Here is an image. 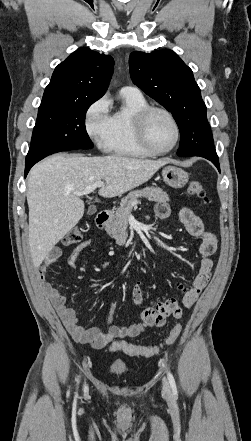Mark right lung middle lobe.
Segmentation results:
<instances>
[{
	"mask_svg": "<svg viewBox=\"0 0 251 441\" xmlns=\"http://www.w3.org/2000/svg\"><path fill=\"white\" fill-rule=\"evenodd\" d=\"M98 99L41 103L31 147L61 151L93 148L85 128V115L90 105Z\"/></svg>",
	"mask_w": 251,
	"mask_h": 441,
	"instance_id": "dd1d6c3e",
	"label": "right lung middle lobe"
}]
</instances>
